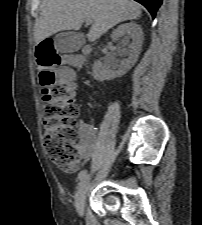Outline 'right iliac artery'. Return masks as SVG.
Here are the masks:
<instances>
[{"label":"right iliac artery","instance_id":"right-iliac-artery-1","mask_svg":"<svg viewBox=\"0 0 202 225\" xmlns=\"http://www.w3.org/2000/svg\"><path fill=\"white\" fill-rule=\"evenodd\" d=\"M87 174V170H82L79 174H78V180H82Z\"/></svg>","mask_w":202,"mask_h":225}]
</instances>
